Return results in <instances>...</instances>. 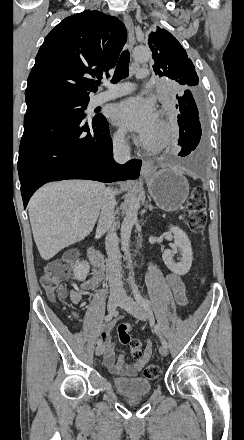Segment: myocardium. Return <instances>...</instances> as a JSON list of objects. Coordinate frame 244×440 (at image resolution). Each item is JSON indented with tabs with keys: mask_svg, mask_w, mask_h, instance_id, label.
Segmentation results:
<instances>
[{
	"mask_svg": "<svg viewBox=\"0 0 244 440\" xmlns=\"http://www.w3.org/2000/svg\"><path fill=\"white\" fill-rule=\"evenodd\" d=\"M165 113L164 112H160L159 113V116L161 117V118H164L165 117ZM161 123H162V125H163V127H164V129H165V127H166V122L164 121V120H161Z\"/></svg>",
	"mask_w": 244,
	"mask_h": 440,
	"instance_id": "obj_1",
	"label": "myocardium"
}]
</instances>
